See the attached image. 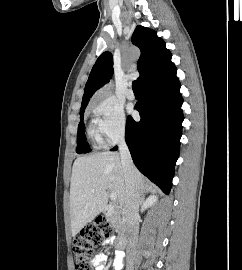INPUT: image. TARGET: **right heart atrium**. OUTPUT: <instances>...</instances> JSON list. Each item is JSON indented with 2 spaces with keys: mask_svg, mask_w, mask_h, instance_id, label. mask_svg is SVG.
Instances as JSON below:
<instances>
[{
  "mask_svg": "<svg viewBox=\"0 0 242 270\" xmlns=\"http://www.w3.org/2000/svg\"><path fill=\"white\" fill-rule=\"evenodd\" d=\"M95 124L105 144L112 145L126 133V118L123 108L110 96L101 95L92 106Z\"/></svg>",
  "mask_w": 242,
  "mask_h": 270,
  "instance_id": "right-heart-atrium-1",
  "label": "right heart atrium"
}]
</instances>
